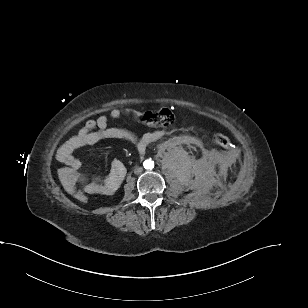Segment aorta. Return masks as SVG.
Listing matches in <instances>:
<instances>
[{"instance_id":"762f6f07","label":"aorta","mask_w":308,"mask_h":308,"mask_svg":"<svg viewBox=\"0 0 308 308\" xmlns=\"http://www.w3.org/2000/svg\"><path fill=\"white\" fill-rule=\"evenodd\" d=\"M145 169H153L154 168V161L151 159L145 160L143 163Z\"/></svg>"}]
</instances>
